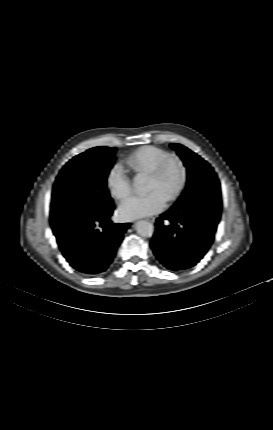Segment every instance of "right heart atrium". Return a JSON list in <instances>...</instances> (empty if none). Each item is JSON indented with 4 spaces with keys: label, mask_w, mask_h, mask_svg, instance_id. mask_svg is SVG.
Listing matches in <instances>:
<instances>
[{
    "label": "right heart atrium",
    "mask_w": 273,
    "mask_h": 430,
    "mask_svg": "<svg viewBox=\"0 0 273 430\" xmlns=\"http://www.w3.org/2000/svg\"><path fill=\"white\" fill-rule=\"evenodd\" d=\"M106 182L110 194L117 200H124L132 192L131 179L120 164L111 167L107 174Z\"/></svg>",
    "instance_id": "d8ad5b80"
}]
</instances>
